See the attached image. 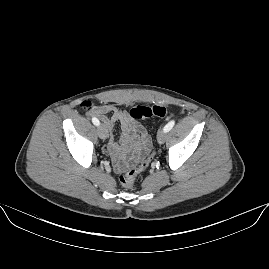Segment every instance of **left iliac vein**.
<instances>
[{"instance_id":"4c4485c4","label":"left iliac vein","mask_w":269,"mask_h":269,"mask_svg":"<svg viewBox=\"0 0 269 269\" xmlns=\"http://www.w3.org/2000/svg\"><path fill=\"white\" fill-rule=\"evenodd\" d=\"M167 133L164 130H161L157 134V141L161 144L165 142Z\"/></svg>"}]
</instances>
